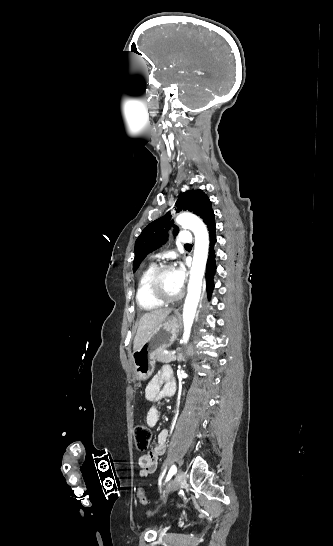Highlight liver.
I'll return each instance as SVG.
<instances>
[{"label":"liver","instance_id":"6515ba94","mask_svg":"<svg viewBox=\"0 0 333 546\" xmlns=\"http://www.w3.org/2000/svg\"><path fill=\"white\" fill-rule=\"evenodd\" d=\"M172 309H156L145 313L139 320L133 349L138 350L152 336L156 328L166 320Z\"/></svg>","mask_w":333,"mask_h":546}]
</instances>
